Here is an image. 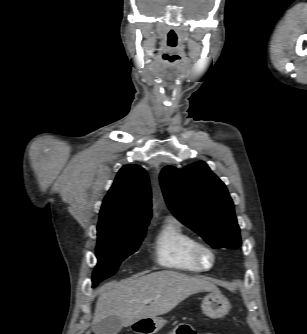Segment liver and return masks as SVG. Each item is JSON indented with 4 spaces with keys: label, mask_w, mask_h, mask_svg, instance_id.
Here are the masks:
<instances>
[{
    "label": "liver",
    "mask_w": 307,
    "mask_h": 334,
    "mask_svg": "<svg viewBox=\"0 0 307 334\" xmlns=\"http://www.w3.org/2000/svg\"><path fill=\"white\" fill-rule=\"evenodd\" d=\"M219 292L213 283L175 271H158L123 282H110L101 289L92 325L108 316H118L127 327L141 319H153L168 313L190 295ZM151 298L150 305L143 303ZM88 332L87 334H89Z\"/></svg>",
    "instance_id": "6515ba94"
}]
</instances>
